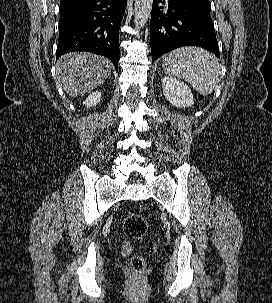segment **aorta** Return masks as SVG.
I'll return each mask as SVG.
<instances>
[{"label": "aorta", "instance_id": "obj_1", "mask_svg": "<svg viewBox=\"0 0 272 303\" xmlns=\"http://www.w3.org/2000/svg\"><path fill=\"white\" fill-rule=\"evenodd\" d=\"M153 0H135L134 25L136 29H141L147 23L151 11Z\"/></svg>", "mask_w": 272, "mask_h": 303}]
</instances>
